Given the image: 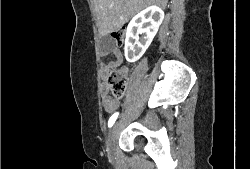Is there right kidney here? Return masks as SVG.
<instances>
[{
  "instance_id": "1",
  "label": "right kidney",
  "mask_w": 250,
  "mask_h": 169,
  "mask_svg": "<svg viewBox=\"0 0 250 169\" xmlns=\"http://www.w3.org/2000/svg\"><path fill=\"white\" fill-rule=\"evenodd\" d=\"M164 18V10L160 6H147L130 20L125 38V58L128 62H135L141 58L146 48L151 44L162 20ZM139 40V34H143Z\"/></svg>"
}]
</instances>
